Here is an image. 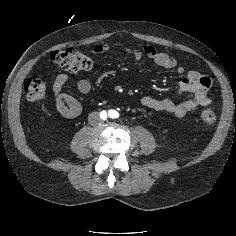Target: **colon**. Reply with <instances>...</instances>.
<instances>
[{
    "label": "colon",
    "instance_id": "1",
    "mask_svg": "<svg viewBox=\"0 0 236 236\" xmlns=\"http://www.w3.org/2000/svg\"><path fill=\"white\" fill-rule=\"evenodd\" d=\"M51 58L62 69L73 72L87 71L92 67V61L87 55L71 48L54 51ZM25 91L30 102L42 100L47 91L45 80L38 75L30 77L25 84ZM201 119L205 124L213 125L217 115L212 109H205Z\"/></svg>",
    "mask_w": 236,
    "mask_h": 236
}]
</instances>
